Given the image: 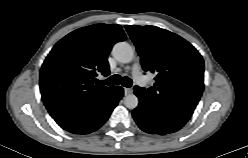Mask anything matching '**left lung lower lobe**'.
I'll use <instances>...</instances> for the list:
<instances>
[{
	"label": "left lung lower lobe",
	"instance_id": "0a47b994",
	"mask_svg": "<svg viewBox=\"0 0 248 158\" xmlns=\"http://www.w3.org/2000/svg\"><path fill=\"white\" fill-rule=\"evenodd\" d=\"M135 93V92H134ZM140 103L132 112L139 128L150 134L165 135L180 130L185 123L174 120L135 93Z\"/></svg>",
	"mask_w": 248,
	"mask_h": 158
}]
</instances>
